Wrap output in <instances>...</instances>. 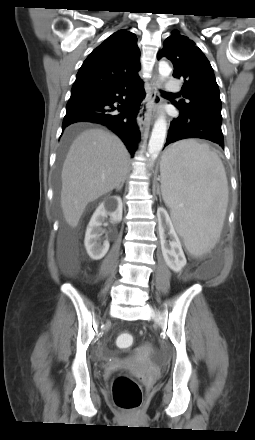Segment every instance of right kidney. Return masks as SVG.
Returning <instances> with one entry per match:
<instances>
[{
    "instance_id": "ca27d5eb",
    "label": "right kidney",
    "mask_w": 255,
    "mask_h": 440,
    "mask_svg": "<svg viewBox=\"0 0 255 440\" xmlns=\"http://www.w3.org/2000/svg\"><path fill=\"white\" fill-rule=\"evenodd\" d=\"M109 209L111 211L108 213L105 203H101L93 213L86 229L84 245L89 257L93 260L102 259L109 250L108 240L101 241L103 233L101 226L107 214L110 215L112 222L118 223L122 220L123 205L119 196L113 197V200L110 201Z\"/></svg>"
}]
</instances>
